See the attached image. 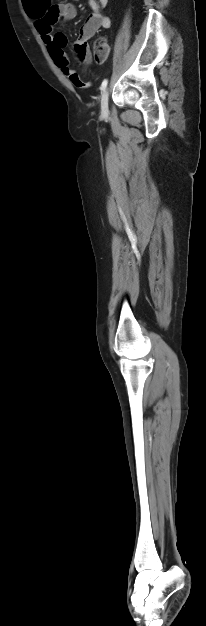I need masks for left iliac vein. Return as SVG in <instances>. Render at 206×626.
<instances>
[{"instance_id": "4c4485c4", "label": "left iliac vein", "mask_w": 206, "mask_h": 626, "mask_svg": "<svg viewBox=\"0 0 206 626\" xmlns=\"http://www.w3.org/2000/svg\"><path fill=\"white\" fill-rule=\"evenodd\" d=\"M108 96H109L108 89H105L101 97V114L103 116H107L109 113Z\"/></svg>"}]
</instances>
